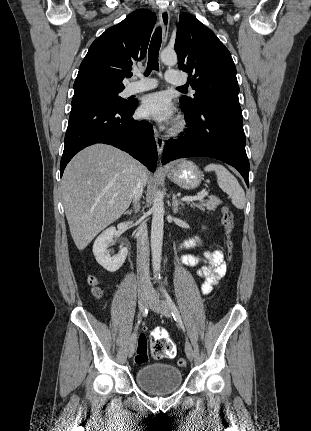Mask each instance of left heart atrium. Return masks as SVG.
<instances>
[{"instance_id": "39dd6f15", "label": "left heart atrium", "mask_w": 311, "mask_h": 431, "mask_svg": "<svg viewBox=\"0 0 311 431\" xmlns=\"http://www.w3.org/2000/svg\"><path fill=\"white\" fill-rule=\"evenodd\" d=\"M139 114L143 118L156 122H168L174 116V107L169 94L154 92L143 97L139 107Z\"/></svg>"}]
</instances>
